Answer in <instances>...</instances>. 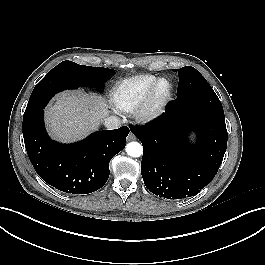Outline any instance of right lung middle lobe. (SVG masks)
<instances>
[{"mask_svg":"<svg viewBox=\"0 0 265 265\" xmlns=\"http://www.w3.org/2000/svg\"><path fill=\"white\" fill-rule=\"evenodd\" d=\"M115 71L103 67L83 66L72 61H63L49 71L35 86L27 104L23 120L43 109L58 92L80 86L104 89V83Z\"/></svg>","mask_w":265,"mask_h":265,"instance_id":"dd1d6c3e","label":"right lung middle lobe"}]
</instances>
